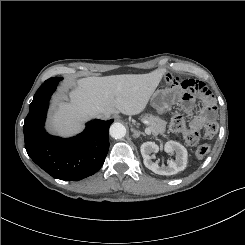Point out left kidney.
Here are the masks:
<instances>
[{
  "instance_id": "left-kidney-1",
  "label": "left kidney",
  "mask_w": 245,
  "mask_h": 245,
  "mask_svg": "<svg viewBox=\"0 0 245 245\" xmlns=\"http://www.w3.org/2000/svg\"><path fill=\"white\" fill-rule=\"evenodd\" d=\"M140 151L143 157L144 165L159 175H174L180 171H183L187 165V150L186 148L178 142L168 141L164 145V151L167 153H175L176 160H170L168 166H159L157 162H153L152 153H157L159 151V146L154 142H145L141 145Z\"/></svg>"
}]
</instances>
